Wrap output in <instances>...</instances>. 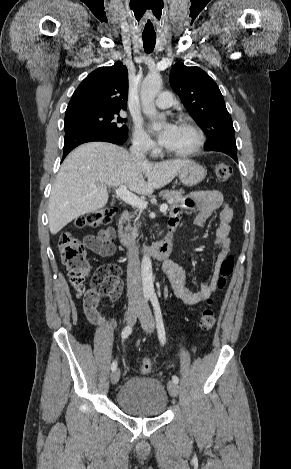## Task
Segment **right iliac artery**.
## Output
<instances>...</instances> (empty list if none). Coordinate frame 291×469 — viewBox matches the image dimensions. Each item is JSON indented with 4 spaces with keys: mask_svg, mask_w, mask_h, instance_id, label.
<instances>
[{
    "mask_svg": "<svg viewBox=\"0 0 291 469\" xmlns=\"http://www.w3.org/2000/svg\"><path fill=\"white\" fill-rule=\"evenodd\" d=\"M144 297H145V301L147 302L149 299V296L145 295ZM131 331H132V327L126 326L121 333L122 339H126L130 335ZM116 368H117V362L113 361L111 364V370L113 371Z\"/></svg>",
    "mask_w": 291,
    "mask_h": 469,
    "instance_id": "1",
    "label": "right iliac artery"
}]
</instances>
